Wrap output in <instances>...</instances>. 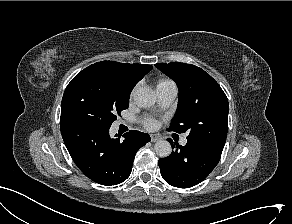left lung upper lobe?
<instances>
[{
    "mask_svg": "<svg viewBox=\"0 0 292 224\" xmlns=\"http://www.w3.org/2000/svg\"><path fill=\"white\" fill-rule=\"evenodd\" d=\"M155 66L175 81L178 107L169 131L188 132L187 140L223 150L228 132V99L204 70L180 62Z\"/></svg>",
    "mask_w": 292,
    "mask_h": 224,
    "instance_id": "obj_1",
    "label": "left lung upper lobe"
}]
</instances>
